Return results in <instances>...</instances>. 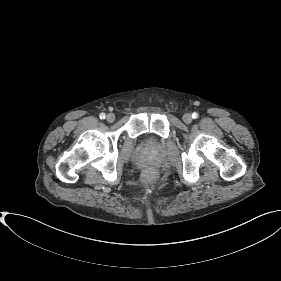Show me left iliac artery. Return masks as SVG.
I'll list each match as a JSON object with an SVG mask.
<instances>
[{"label":"left iliac artery","mask_w":281,"mask_h":281,"mask_svg":"<svg viewBox=\"0 0 281 281\" xmlns=\"http://www.w3.org/2000/svg\"><path fill=\"white\" fill-rule=\"evenodd\" d=\"M192 118H194V119L198 118V113L194 112V113L192 114Z\"/></svg>","instance_id":"obj_1"}]
</instances>
